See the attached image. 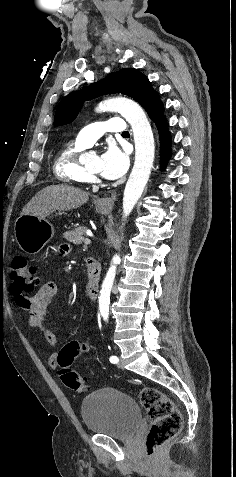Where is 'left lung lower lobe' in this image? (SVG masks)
<instances>
[{"label": "left lung lower lobe", "instance_id": "1", "mask_svg": "<svg viewBox=\"0 0 236 477\" xmlns=\"http://www.w3.org/2000/svg\"><path fill=\"white\" fill-rule=\"evenodd\" d=\"M149 117L155 122L160 139V164L161 168L166 166V163L170 157V144L171 135L167 129V123L163 116V104L159 99L158 93H156L146 109Z\"/></svg>", "mask_w": 236, "mask_h": 477}]
</instances>
